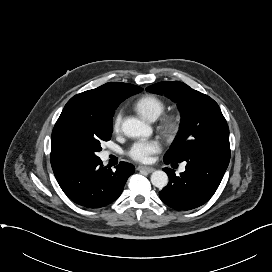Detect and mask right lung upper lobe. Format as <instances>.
<instances>
[{"instance_id": "cb5924a9", "label": "right lung upper lobe", "mask_w": 272, "mask_h": 272, "mask_svg": "<svg viewBox=\"0 0 272 272\" xmlns=\"http://www.w3.org/2000/svg\"><path fill=\"white\" fill-rule=\"evenodd\" d=\"M141 91L142 88L132 84L109 82L72 97L65 105L52 131L50 159L54 175L59 176L76 164L59 147L57 135L62 126L83 119L95 121L110 119L121 102Z\"/></svg>"}]
</instances>
